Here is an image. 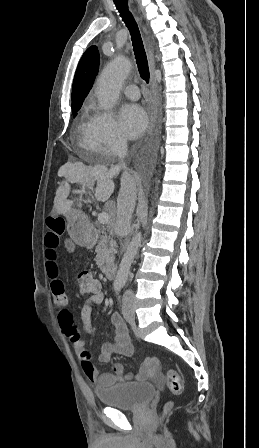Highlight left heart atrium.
Wrapping results in <instances>:
<instances>
[{"instance_id": "left-heart-atrium-1", "label": "left heart atrium", "mask_w": 259, "mask_h": 448, "mask_svg": "<svg viewBox=\"0 0 259 448\" xmlns=\"http://www.w3.org/2000/svg\"><path fill=\"white\" fill-rule=\"evenodd\" d=\"M119 125L127 138L135 139L140 136L147 126L143 108L134 103L124 105L120 110Z\"/></svg>"}]
</instances>
